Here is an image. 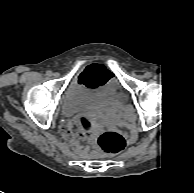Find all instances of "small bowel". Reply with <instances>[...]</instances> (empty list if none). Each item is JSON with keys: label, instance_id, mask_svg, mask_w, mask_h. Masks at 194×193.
Here are the masks:
<instances>
[{"label": "small bowel", "instance_id": "small-bowel-1", "mask_svg": "<svg viewBox=\"0 0 194 193\" xmlns=\"http://www.w3.org/2000/svg\"><path fill=\"white\" fill-rule=\"evenodd\" d=\"M98 69H100V70H102V71H105V72H108V71H109V68H108L107 66H104V65H103V66H93V67H88L85 71H89V70H98ZM79 82L85 84V73L80 75V77H79ZM93 88H95V87H93ZM85 102H86V100H85L83 103H81L80 105L84 104ZM90 102H91V97H89L88 103H90ZM90 109H91V110H95L96 107H95V106H90ZM75 142H76V144H79V143H80L79 138L76 139Z\"/></svg>", "mask_w": 194, "mask_h": 193}]
</instances>
